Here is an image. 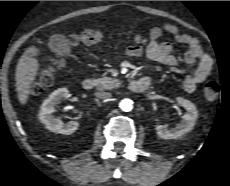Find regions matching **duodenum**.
<instances>
[{"instance_id": "duodenum-1", "label": "duodenum", "mask_w": 230, "mask_h": 186, "mask_svg": "<svg viewBox=\"0 0 230 186\" xmlns=\"http://www.w3.org/2000/svg\"><path fill=\"white\" fill-rule=\"evenodd\" d=\"M151 80L148 77H142L136 80H132L129 83V88L133 92H143L149 88ZM82 87L86 91L93 90L95 87V81L92 78H87L83 81Z\"/></svg>"}]
</instances>
